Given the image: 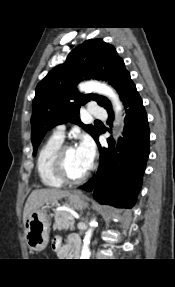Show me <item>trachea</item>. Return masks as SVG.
Returning <instances> with one entry per match:
<instances>
[{
	"instance_id": "1",
	"label": "trachea",
	"mask_w": 175,
	"mask_h": 287,
	"mask_svg": "<svg viewBox=\"0 0 175 287\" xmlns=\"http://www.w3.org/2000/svg\"><path fill=\"white\" fill-rule=\"evenodd\" d=\"M95 122H100L99 120H96Z\"/></svg>"
}]
</instances>
